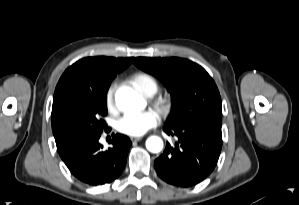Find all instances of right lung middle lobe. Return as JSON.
Segmentation results:
<instances>
[{
	"label": "right lung middle lobe",
	"instance_id": "obj_1",
	"mask_svg": "<svg viewBox=\"0 0 299 205\" xmlns=\"http://www.w3.org/2000/svg\"><path fill=\"white\" fill-rule=\"evenodd\" d=\"M111 81L75 89L53 109L52 130L58 151L86 136L102 133Z\"/></svg>",
	"mask_w": 299,
	"mask_h": 205
}]
</instances>
